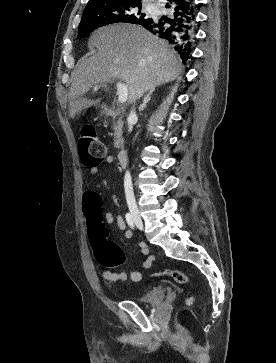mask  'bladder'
<instances>
[{"mask_svg":"<svg viewBox=\"0 0 276 363\" xmlns=\"http://www.w3.org/2000/svg\"><path fill=\"white\" fill-rule=\"evenodd\" d=\"M165 289L162 286H154L140 295L136 301L140 304H156L164 300Z\"/></svg>","mask_w":276,"mask_h":363,"instance_id":"31cf9c89","label":"bladder"}]
</instances>
